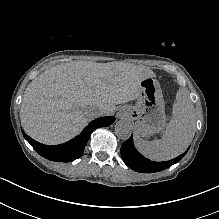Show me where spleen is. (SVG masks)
Returning <instances> with one entry per match:
<instances>
[{
	"label": "spleen",
	"instance_id": "obj_1",
	"mask_svg": "<svg viewBox=\"0 0 219 219\" xmlns=\"http://www.w3.org/2000/svg\"><path fill=\"white\" fill-rule=\"evenodd\" d=\"M196 127L194 104L186 90L180 89L161 140L145 141L134 134V147L148 160L166 162L183 154L189 147Z\"/></svg>",
	"mask_w": 219,
	"mask_h": 219
}]
</instances>
